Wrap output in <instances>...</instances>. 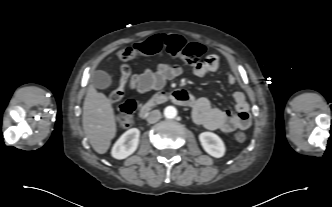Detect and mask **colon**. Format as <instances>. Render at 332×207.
Returning a JSON list of instances; mask_svg holds the SVG:
<instances>
[{
    "label": "colon",
    "instance_id": "colon-1",
    "mask_svg": "<svg viewBox=\"0 0 332 207\" xmlns=\"http://www.w3.org/2000/svg\"><path fill=\"white\" fill-rule=\"evenodd\" d=\"M162 50H165L168 54L183 60L189 65H196L204 53L203 46L199 43L187 42L180 35L159 34L150 37L144 42L121 49L117 56L122 62H126L137 57L154 55ZM128 69V67L124 66L122 73H125ZM123 96V85L120 83V85L112 91L110 100L116 103L121 101ZM135 109L136 104L132 99H128L120 105L121 113L118 118L120 128L127 129L131 126ZM233 138L238 143H242L246 140V136L242 132L235 133Z\"/></svg>",
    "mask_w": 332,
    "mask_h": 207
}]
</instances>
